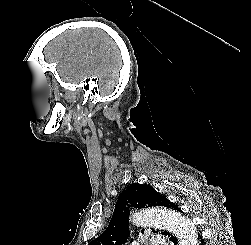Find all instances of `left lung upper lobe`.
Masks as SVG:
<instances>
[{
	"instance_id": "obj_1",
	"label": "left lung upper lobe",
	"mask_w": 251,
	"mask_h": 245,
	"mask_svg": "<svg viewBox=\"0 0 251 245\" xmlns=\"http://www.w3.org/2000/svg\"><path fill=\"white\" fill-rule=\"evenodd\" d=\"M141 209L151 206H162L173 210H178V206L167 199L164 195L158 193L150 185L132 184L119 197L115 205L113 216L107 229L88 245H122L129 238V208ZM164 231L162 234L166 235Z\"/></svg>"
}]
</instances>
